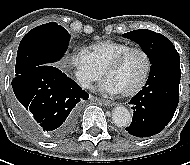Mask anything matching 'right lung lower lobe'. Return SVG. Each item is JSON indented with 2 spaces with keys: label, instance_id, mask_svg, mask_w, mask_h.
Masks as SVG:
<instances>
[{
  "label": "right lung lower lobe",
  "instance_id": "right-lung-lower-lobe-1",
  "mask_svg": "<svg viewBox=\"0 0 190 165\" xmlns=\"http://www.w3.org/2000/svg\"><path fill=\"white\" fill-rule=\"evenodd\" d=\"M13 107L22 125L45 140H59L74 130L78 103L88 93L53 65H41L12 80Z\"/></svg>",
  "mask_w": 190,
  "mask_h": 165
}]
</instances>
